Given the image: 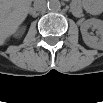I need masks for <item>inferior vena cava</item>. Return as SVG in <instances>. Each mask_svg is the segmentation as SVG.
<instances>
[{
	"instance_id": "1",
	"label": "inferior vena cava",
	"mask_w": 103,
	"mask_h": 103,
	"mask_svg": "<svg viewBox=\"0 0 103 103\" xmlns=\"http://www.w3.org/2000/svg\"><path fill=\"white\" fill-rule=\"evenodd\" d=\"M34 10L35 11H44L46 10V1L45 0H36L34 2Z\"/></svg>"
}]
</instances>
